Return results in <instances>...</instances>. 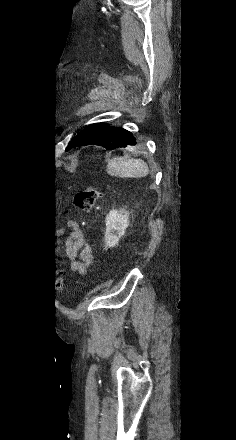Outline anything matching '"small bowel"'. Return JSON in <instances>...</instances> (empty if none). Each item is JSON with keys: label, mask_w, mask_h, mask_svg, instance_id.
Returning <instances> with one entry per match:
<instances>
[{"label": "small bowel", "mask_w": 236, "mask_h": 440, "mask_svg": "<svg viewBox=\"0 0 236 440\" xmlns=\"http://www.w3.org/2000/svg\"><path fill=\"white\" fill-rule=\"evenodd\" d=\"M72 228L68 256L72 259L71 271L78 275H85L93 263L92 248L84 238L83 231L74 221H68Z\"/></svg>", "instance_id": "obj_1"}]
</instances>
